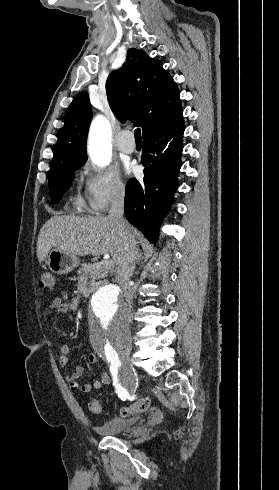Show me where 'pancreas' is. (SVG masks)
Listing matches in <instances>:
<instances>
[{"mask_svg": "<svg viewBox=\"0 0 279 490\" xmlns=\"http://www.w3.org/2000/svg\"><path fill=\"white\" fill-rule=\"evenodd\" d=\"M112 268L113 266H107L106 262L105 264H81L78 274L83 278H91L92 284H95V280L106 278Z\"/></svg>", "mask_w": 279, "mask_h": 490, "instance_id": "pancreas-1", "label": "pancreas"}]
</instances>
